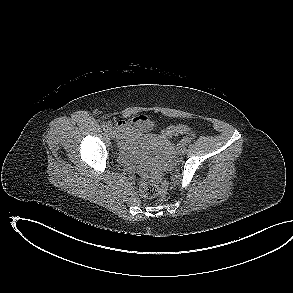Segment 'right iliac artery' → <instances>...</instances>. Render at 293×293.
<instances>
[{"instance_id":"right-iliac-artery-1","label":"right iliac artery","mask_w":293,"mask_h":293,"mask_svg":"<svg viewBox=\"0 0 293 293\" xmlns=\"http://www.w3.org/2000/svg\"><path fill=\"white\" fill-rule=\"evenodd\" d=\"M101 126H102V128L104 129V130H108V125H107V123H105V122H103L102 124H101Z\"/></svg>"}]
</instances>
